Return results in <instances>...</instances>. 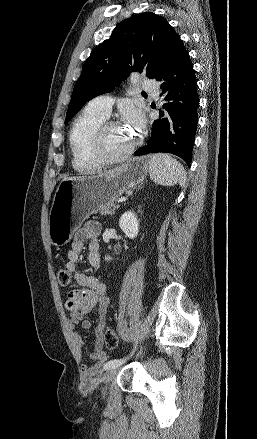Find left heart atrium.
Wrapping results in <instances>:
<instances>
[{"instance_id":"obj_1","label":"left heart atrium","mask_w":257,"mask_h":439,"mask_svg":"<svg viewBox=\"0 0 257 439\" xmlns=\"http://www.w3.org/2000/svg\"><path fill=\"white\" fill-rule=\"evenodd\" d=\"M124 120L127 126L139 131L144 126V116L138 109H126L124 112Z\"/></svg>"}]
</instances>
